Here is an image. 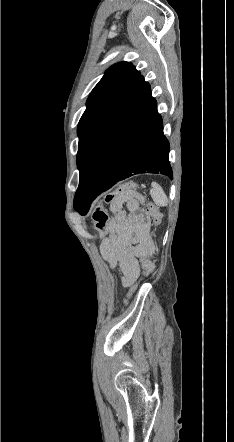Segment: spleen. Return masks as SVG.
Masks as SVG:
<instances>
[{"label": "spleen", "mask_w": 234, "mask_h": 442, "mask_svg": "<svg viewBox=\"0 0 234 442\" xmlns=\"http://www.w3.org/2000/svg\"><path fill=\"white\" fill-rule=\"evenodd\" d=\"M153 201L158 206H167L168 198L164 193L162 187L158 183H152V188L150 190Z\"/></svg>", "instance_id": "1"}]
</instances>
